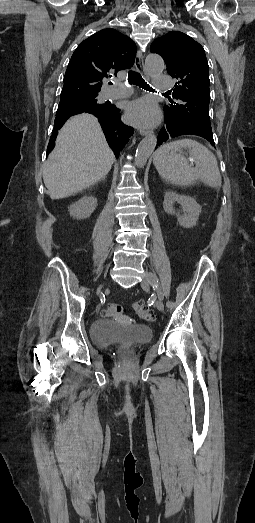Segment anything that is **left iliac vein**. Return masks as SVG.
<instances>
[{
	"label": "left iliac vein",
	"instance_id": "1",
	"mask_svg": "<svg viewBox=\"0 0 255 523\" xmlns=\"http://www.w3.org/2000/svg\"><path fill=\"white\" fill-rule=\"evenodd\" d=\"M151 278L154 283L158 284V278L155 274L151 272H147L145 278L141 281V287L145 290H149V281L148 279ZM155 306L159 311L164 310V304L160 299H155Z\"/></svg>",
	"mask_w": 255,
	"mask_h": 523
}]
</instances>
